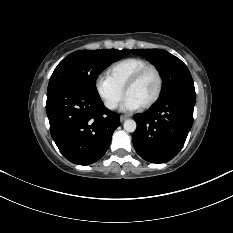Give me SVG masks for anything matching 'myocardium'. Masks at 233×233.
Wrapping results in <instances>:
<instances>
[{"label": "myocardium", "instance_id": "1", "mask_svg": "<svg viewBox=\"0 0 233 233\" xmlns=\"http://www.w3.org/2000/svg\"><path fill=\"white\" fill-rule=\"evenodd\" d=\"M149 71H153L156 74L158 86H157V90L154 96L147 103L141 106L142 109H147L151 107L153 104H155L158 101V99L160 98L162 94L163 76H162L160 69L153 64L145 65L144 67L140 68L135 74H133V76L126 83L124 90H123L124 94L126 95L128 90L131 89L134 85H136L141 80V78Z\"/></svg>", "mask_w": 233, "mask_h": 233}]
</instances>
